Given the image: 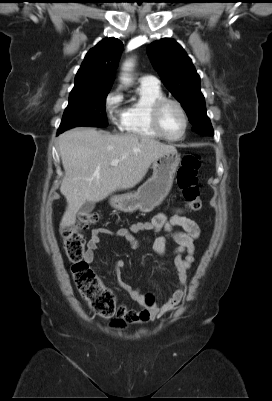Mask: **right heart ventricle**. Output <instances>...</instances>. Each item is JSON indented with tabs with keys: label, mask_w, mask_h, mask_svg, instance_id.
<instances>
[{
	"label": "right heart ventricle",
	"mask_w": 272,
	"mask_h": 401,
	"mask_svg": "<svg viewBox=\"0 0 272 401\" xmlns=\"http://www.w3.org/2000/svg\"><path fill=\"white\" fill-rule=\"evenodd\" d=\"M159 86L140 85L137 98L124 110L121 129L138 138L161 139L151 123V110L155 102L164 98Z\"/></svg>",
	"instance_id": "right-heart-ventricle-1"
}]
</instances>
